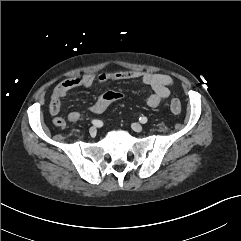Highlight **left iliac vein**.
<instances>
[{"instance_id": "left-iliac-vein-1", "label": "left iliac vein", "mask_w": 241, "mask_h": 241, "mask_svg": "<svg viewBox=\"0 0 241 241\" xmlns=\"http://www.w3.org/2000/svg\"><path fill=\"white\" fill-rule=\"evenodd\" d=\"M132 129L135 131V132H141L143 127L141 124L139 123H133L132 124Z\"/></svg>"}]
</instances>
